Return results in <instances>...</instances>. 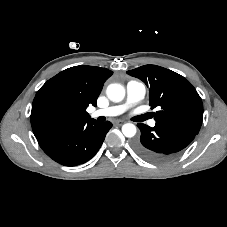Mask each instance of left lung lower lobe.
Segmentation results:
<instances>
[{"mask_svg": "<svg viewBox=\"0 0 227 227\" xmlns=\"http://www.w3.org/2000/svg\"><path fill=\"white\" fill-rule=\"evenodd\" d=\"M141 130V137L133 147L144 159L163 163L170 160L177 152L188 146L197 133L173 125L156 123L151 128L145 124L137 125Z\"/></svg>", "mask_w": 227, "mask_h": 227, "instance_id": "1", "label": "left lung lower lobe"}]
</instances>
